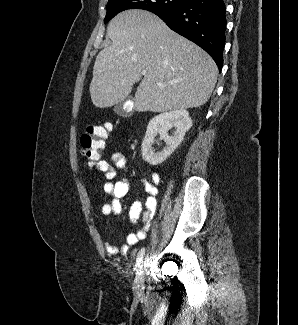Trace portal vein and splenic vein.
I'll list each match as a JSON object with an SVG mask.
<instances>
[{
    "instance_id": "18ae733b",
    "label": "portal vein and splenic vein",
    "mask_w": 298,
    "mask_h": 325,
    "mask_svg": "<svg viewBox=\"0 0 298 325\" xmlns=\"http://www.w3.org/2000/svg\"><path fill=\"white\" fill-rule=\"evenodd\" d=\"M143 74H146V72H143ZM159 84H162V82H159Z\"/></svg>"
}]
</instances>
